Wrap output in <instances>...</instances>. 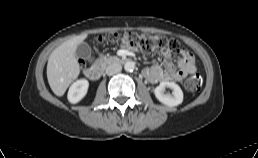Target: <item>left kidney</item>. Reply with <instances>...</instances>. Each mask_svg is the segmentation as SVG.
<instances>
[{"label":"left kidney","mask_w":258,"mask_h":158,"mask_svg":"<svg viewBox=\"0 0 258 158\" xmlns=\"http://www.w3.org/2000/svg\"><path fill=\"white\" fill-rule=\"evenodd\" d=\"M166 88L172 89V94L164 93ZM154 94L161 103L169 107L177 106L183 101V92L180 86L174 82H160V84L154 89Z\"/></svg>","instance_id":"1"}]
</instances>
